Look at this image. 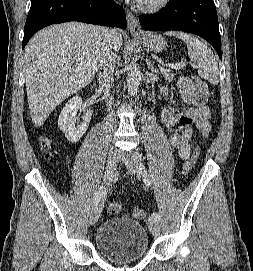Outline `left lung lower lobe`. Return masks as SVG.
I'll return each instance as SVG.
<instances>
[{
  "label": "left lung lower lobe",
  "instance_id": "obj_1",
  "mask_svg": "<svg viewBox=\"0 0 253 271\" xmlns=\"http://www.w3.org/2000/svg\"><path fill=\"white\" fill-rule=\"evenodd\" d=\"M144 30H179L199 35L217 51L221 59V37L213 0H170L163 11L141 15Z\"/></svg>",
  "mask_w": 253,
  "mask_h": 271
}]
</instances>
